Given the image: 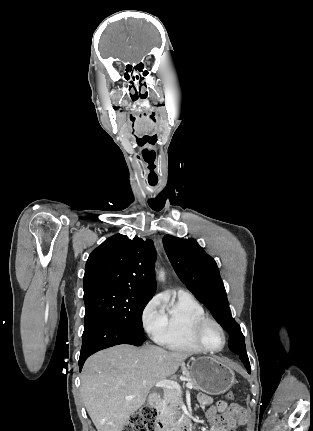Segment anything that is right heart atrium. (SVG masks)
I'll return each instance as SVG.
<instances>
[{"label":"right heart atrium","mask_w":313,"mask_h":431,"mask_svg":"<svg viewBox=\"0 0 313 431\" xmlns=\"http://www.w3.org/2000/svg\"><path fill=\"white\" fill-rule=\"evenodd\" d=\"M144 329L157 340L165 325L164 301L162 296H153L144 306L141 313Z\"/></svg>","instance_id":"1"}]
</instances>
